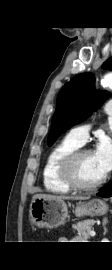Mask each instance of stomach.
<instances>
[{
    "mask_svg": "<svg viewBox=\"0 0 112 270\" xmlns=\"http://www.w3.org/2000/svg\"><path fill=\"white\" fill-rule=\"evenodd\" d=\"M108 205L100 199L88 202H79L75 208V215L101 216L107 213ZM31 221L37 227L54 228L62 225L67 216L68 209L65 201L58 198H33L29 210Z\"/></svg>",
    "mask_w": 112,
    "mask_h": 270,
    "instance_id": "0dacf381",
    "label": "stomach"
}]
</instances>
